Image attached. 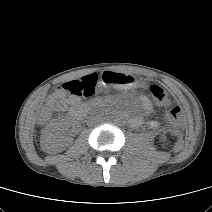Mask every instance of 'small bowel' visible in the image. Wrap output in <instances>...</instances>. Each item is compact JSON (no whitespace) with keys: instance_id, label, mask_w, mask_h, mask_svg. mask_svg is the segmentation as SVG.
Returning <instances> with one entry per match:
<instances>
[{"instance_id":"1","label":"small bowel","mask_w":212,"mask_h":212,"mask_svg":"<svg viewBox=\"0 0 212 212\" xmlns=\"http://www.w3.org/2000/svg\"><path fill=\"white\" fill-rule=\"evenodd\" d=\"M80 103V100L77 97L64 98L63 96L51 95L47 99V104H55L59 111H63L68 107H73ZM144 108L146 111L149 110L148 102L144 101ZM155 123H152L154 125Z\"/></svg>"}]
</instances>
